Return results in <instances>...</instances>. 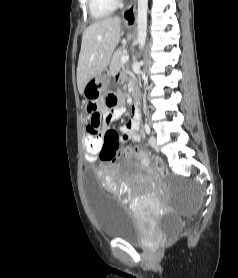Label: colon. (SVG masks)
I'll return each mask as SVG.
<instances>
[{"label": "colon", "instance_id": "5ec220e1", "mask_svg": "<svg viewBox=\"0 0 238 278\" xmlns=\"http://www.w3.org/2000/svg\"><path fill=\"white\" fill-rule=\"evenodd\" d=\"M106 100H117L115 95H108ZM96 105L90 104L87 109V113L90 115L95 109ZM83 149L84 156L87 159V162H98V159H104L107 161H114L120 155H130L132 150L128 149L125 152H122L120 145L114 141L105 144L104 137H83ZM152 165L155 171L160 176L167 175V169L165 164L160 159L152 160Z\"/></svg>", "mask_w": 238, "mask_h": 278}]
</instances>
